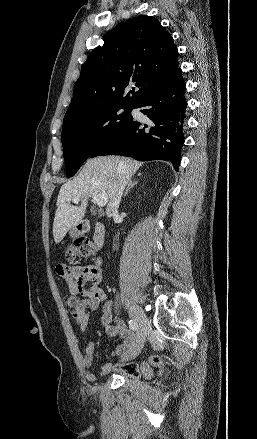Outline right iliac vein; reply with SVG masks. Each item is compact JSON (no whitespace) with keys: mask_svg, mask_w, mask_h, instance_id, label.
<instances>
[{"mask_svg":"<svg viewBox=\"0 0 257 439\" xmlns=\"http://www.w3.org/2000/svg\"><path fill=\"white\" fill-rule=\"evenodd\" d=\"M130 315L137 322L139 330L137 336V353L141 351L144 346L146 333L148 328V320L144 312L138 308L133 307L130 311Z\"/></svg>","mask_w":257,"mask_h":439,"instance_id":"obj_1","label":"right iliac vein"}]
</instances>
